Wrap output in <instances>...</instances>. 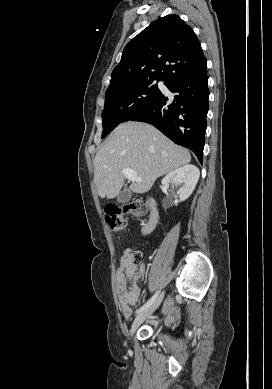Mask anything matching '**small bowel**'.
<instances>
[{
	"label": "small bowel",
	"mask_w": 272,
	"mask_h": 389,
	"mask_svg": "<svg viewBox=\"0 0 272 389\" xmlns=\"http://www.w3.org/2000/svg\"><path fill=\"white\" fill-rule=\"evenodd\" d=\"M145 275L143 264L133 263L132 254L127 250L116 271L117 293L120 307L125 319H129L132 307L140 297L141 283Z\"/></svg>",
	"instance_id": "obj_1"
}]
</instances>
